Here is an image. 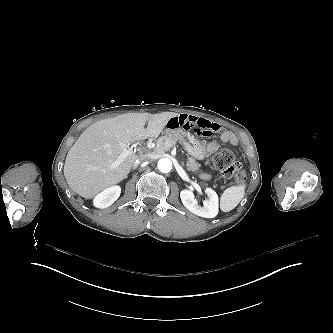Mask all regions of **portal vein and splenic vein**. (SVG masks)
Returning a JSON list of instances; mask_svg holds the SVG:
<instances>
[{
  "label": "portal vein and splenic vein",
  "mask_w": 333,
  "mask_h": 333,
  "mask_svg": "<svg viewBox=\"0 0 333 333\" xmlns=\"http://www.w3.org/2000/svg\"><path fill=\"white\" fill-rule=\"evenodd\" d=\"M120 146L123 147V150L119 158L110 164L112 170L120 165L127 156L133 155L137 151V147L130 146L129 144L120 143Z\"/></svg>",
  "instance_id": "18ae733b"
}]
</instances>
